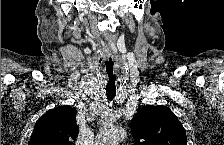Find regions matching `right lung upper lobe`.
<instances>
[{
    "label": "right lung upper lobe",
    "instance_id": "cb5924a9",
    "mask_svg": "<svg viewBox=\"0 0 224 145\" xmlns=\"http://www.w3.org/2000/svg\"><path fill=\"white\" fill-rule=\"evenodd\" d=\"M75 115L70 105L48 111L36 122L29 145H71L79 132Z\"/></svg>",
    "mask_w": 224,
    "mask_h": 145
}]
</instances>
